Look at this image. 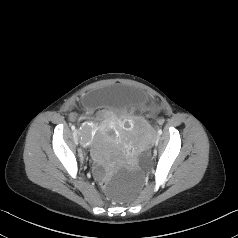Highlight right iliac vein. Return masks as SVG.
<instances>
[{
	"label": "right iliac vein",
	"instance_id": "obj_1",
	"mask_svg": "<svg viewBox=\"0 0 238 238\" xmlns=\"http://www.w3.org/2000/svg\"><path fill=\"white\" fill-rule=\"evenodd\" d=\"M77 135H78V130H74L73 132V141H74V144H75V147H79V144L77 142Z\"/></svg>",
	"mask_w": 238,
	"mask_h": 238
}]
</instances>
